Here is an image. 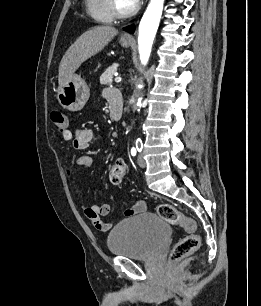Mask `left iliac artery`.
Here are the masks:
<instances>
[{
  "mask_svg": "<svg viewBox=\"0 0 261 306\" xmlns=\"http://www.w3.org/2000/svg\"><path fill=\"white\" fill-rule=\"evenodd\" d=\"M142 148H143L142 141H141L140 138H138V139L136 140V148L133 147V148L131 149V155H132V156H135L137 151H138V152H141V151H142Z\"/></svg>",
  "mask_w": 261,
  "mask_h": 306,
  "instance_id": "obj_1",
  "label": "left iliac artery"
}]
</instances>
